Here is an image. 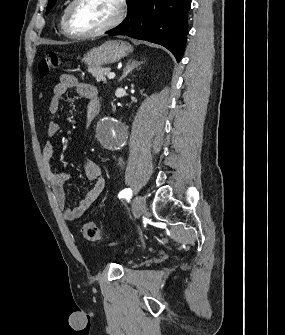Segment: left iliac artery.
<instances>
[{
    "mask_svg": "<svg viewBox=\"0 0 285 335\" xmlns=\"http://www.w3.org/2000/svg\"><path fill=\"white\" fill-rule=\"evenodd\" d=\"M132 195V190L127 188V189H124L122 190L119 194H118V197L119 198H126L127 196H130Z\"/></svg>",
    "mask_w": 285,
    "mask_h": 335,
    "instance_id": "obj_1",
    "label": "left iliac artery"
}]
</instances>
